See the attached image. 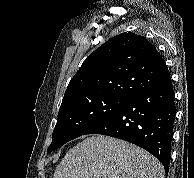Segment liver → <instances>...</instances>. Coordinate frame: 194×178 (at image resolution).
Returning a JSON list of instances; mask_svg holds the SVG:
<instances>
[{"mask_svg": "<svg viewBox=\"0 0 194 178\" xmlns=\"http://www.w3.org/2000/svg\"><path fill=\"white\" fill-rule=\"evenodd\" d=\"M53 178H164V168L144 149L98 135L70 149Z\"/></svg>", "mask_w": 194, "mask_h": 178, "instance_id": "1", "label": "liver"}]
</instances>
